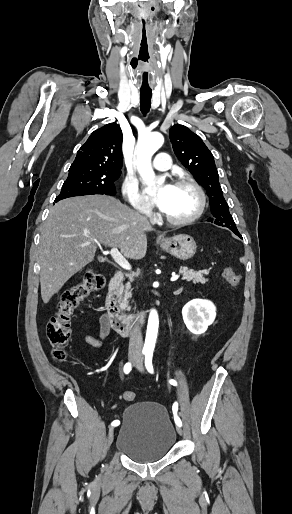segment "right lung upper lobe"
<instances>
[{"label": "right lung upper lobe", "mask_w": 292, "mask_h": 514, "mask_svg": "<svg viewBox=\"0 0 292 514\" xmlns=\"http://www.w3.org/2000/svg\"><path fill=\"white\" fill-rule=\"evenodd\" d=\"M122 138L116 123L97 129L78 150L69 173L121 174Z\"/></svg>", "instance_id": "obj_1"}]
</instances>
